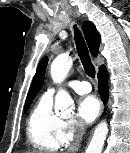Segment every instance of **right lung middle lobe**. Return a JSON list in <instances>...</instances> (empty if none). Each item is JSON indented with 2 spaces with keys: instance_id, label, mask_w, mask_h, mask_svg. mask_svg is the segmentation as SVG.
Wrapping results in <instances>:
<instances>
[{
  "instance_id": "right-lung-middle-lobe-1",
  "label": "right lung middle lobe",
  "mask_w": 130,
  "mask_h": 153,
  "mask_svg": "<svg viewBox=\"0 0 130 153\" xmlns=\"http://www.w3.org/2000/svg\"><path fill=\"white\" fill-rule=\"evenodd\" d=\"M31 103L32 101L25 104V112L29 109Z\"/></svg>"
}]
</instances>
